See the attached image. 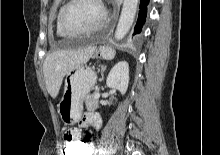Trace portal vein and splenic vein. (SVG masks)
I'll use <instances>...</instances> for the list:
<instances>
[{"instance_id":"portal-vein-and-splenic-vein-1","label":"portal vein and splenic vein","mask_w":220,"mask_h":155,"mask_svg":"<svg viewBox=\"0 0 220 155\" xmlns=\"http://www.w3.org/2000/svg\"><path fill=\"white\" fill-rule=\"evenodd\" d=\"M99 97H100L99 92H96V93H95V97H94V98H95V99H98Z\"/></svg>"}]
</instances>
